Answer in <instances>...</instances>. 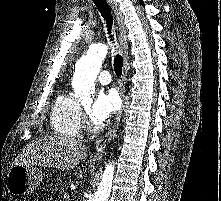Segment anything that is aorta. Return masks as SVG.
<instances>
[{
    "instance_id": "aorta-1",
    "label": "aorta",
    "mask_w": 221,
    "mask_h": 201,
    "mask_svg": "<svg viewBox=\"0 0 221 201\" xmlns=\"http://www.w3.org/2000/svg\"><path fill=\"white\" fill-rule=\"evenodd\" d=\"M108 53L105 44L91 45L87 55L81 59L72 80L75 95L80 98H88L95 91V80L102 66V62ZM114 176V164L106 165L101 182L91 201H108L111 193Z\"/></svg>"
}]
</instances>
